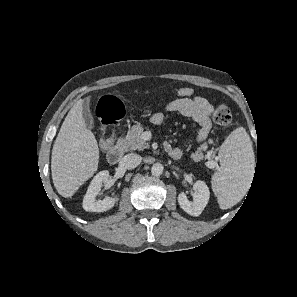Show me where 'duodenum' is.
I'll return each instance as SVG.
<instances>
[{"label":"duodenum","instance_id":"obj_1","mask_svg":"<svg viewBox=\"0 0 297 297\" xmlns=\"http://www.w3.org/2000/svg\"><path fill=\"white\" fill-rule=\"evenodd\" d=\"M124 154V144L122 141H117L107 153V159L111 164H117Z\"/></svg>","mask_w":297,"mask_h":297}]
</instances>
